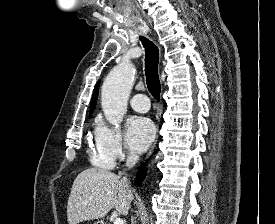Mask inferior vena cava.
I'll return each instance as SVG.
<instances>
[{"mask_svg":"<svg viewBox=\"0 0 275 224\" xmlns=\"http://www.w3.org/2000/svg\"><path fill=\"white\" fill-rule=\"evenodd\" d=\"M138 159H139V156L137 154L131 152L127 158L126 166L129 169L132 168L137 163ZM123 181L126 183L128 182L126 177L123 178Z\"/></svg>","mask_w":275,"mask_h":224,"instance_id":"inferior-vena-cava-1","label":"inferior vena cava"}]
</instances>
